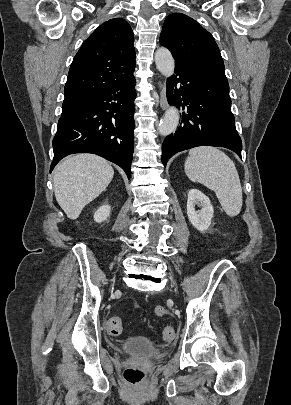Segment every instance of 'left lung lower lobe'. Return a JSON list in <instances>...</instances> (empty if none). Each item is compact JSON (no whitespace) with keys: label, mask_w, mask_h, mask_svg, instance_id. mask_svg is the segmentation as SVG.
I'll return each instance as SVG.
<instances>
[{"label":"left lung lower lobe","mask_w":291,"mask_h":405,"mask_svg":"<svg viewBox=\"0 0 291 405\" xmlns=\"http://www.w3.org/2000/svg\"><path fill=\"white\" fill-rule=\"evenodd\" d=\"M167 99L185 112L177 130L163 142L164 166L177 152L198 146L225 147L241 158L242 142L224 72L175 63V75L167 80Z\"/></svg>","instance_id":"obj_1"}]
</instances>
